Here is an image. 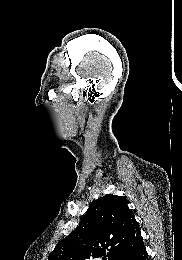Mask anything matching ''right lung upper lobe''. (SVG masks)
I'll use <instances>...</instances> for the list:
<instances>
[{"instance_id":"cb5924a9","label":"right lung upper lobe","mask_w":182,"mask_h":260,"mask_svg":"<svg viewBox=\"0 0 182 260\" xmlns=\"http://www.w3.org/2000/svg\"><path fill=\"white\" fill-rule=\"evenodd\" d=\"M127 204L123 197L111 194L95 200L80 225L55 246L48 260H93L106 251L108 260H118L143 240Z\"/></svg>"}]
</instances>
